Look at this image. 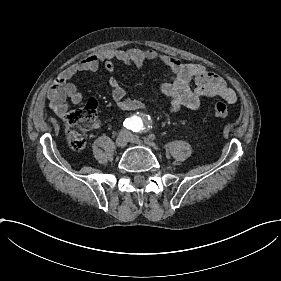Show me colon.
Instances as JSON below:
<instances>
[{"instance_id": "colon-1", "label": "colon", "mask_w": 281, "mask_h": 281, "mask_svg": "<svg viewBox=\"0 0 281 281\" xmlns=\"http://www.w3.org/2000/svg\"><path fill=\"white\" fill-rule=\"evenodd\" d=\"M211 114L218 119H226L229 115V106L224 102H214L210 107ZM66 126L70 136V144L75 149H80L86 143V125L78 112H71L66 118Z\"/></svg>"}]
</instances>
